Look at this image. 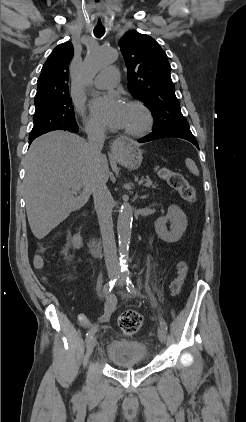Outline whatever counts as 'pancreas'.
<instances>
[{
  "mask_svg": "<svg viewBox=\"0 0 246 422\" xmlns=\"http://www.w3.org/2000/svg\"><path fill=\"white\" fill-rule=\"evenodd\" d=\"M147 182H151V180H149V179H148V180H147ZM144 185H145L146 187H149V186L155 187V185H153V184H152V182H151L150 184H146V183H145Z\"/></svg>",
  "mask_w": 246,
  "mask_h": 422,
  "instance_id": "obj_1",
  "label": "pancreas"
}]
</instances>
